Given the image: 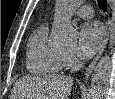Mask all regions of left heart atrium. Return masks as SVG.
Instances as JSON below:
<instances>
[{"mask_svg": "<svg viewBox=\"0 0 115 99\" xmlns=\"http://www.w3.org/2000/svg\"><path fill=\"white\" fill-rule=\"evenodd\" d=\"M105 39V31L99 22L85 24L79 32L78 55L81 58H89L102 46Z\"/></svg>", "mask_w": 115, "mask_h": 99, "instance_id": "left-heart-atrium-1", "label": "left heart atrium"}]
</instances>
